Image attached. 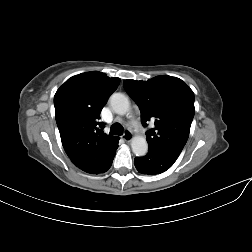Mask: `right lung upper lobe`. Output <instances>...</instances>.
<instances>
[{"label":"right lung upper lobe","instance_id":"1","mask_svg":"<svg viewBox=\"0 0 252 252\" xmlns=\"http://www.w3.org/2000/svg\"><path fill=\"white\" fill-rule=\"evenodd\" d=\"M119 78L87 72L69 78L54 96L55 118L62 145L81 170L99 174L111 159L119 137L103 132L100 112L117 89Z\"/></svg>","mask_w":252,"mask_h":252}]
</instances>
